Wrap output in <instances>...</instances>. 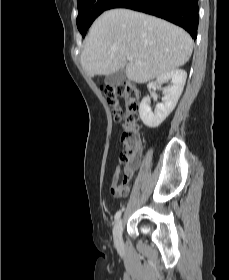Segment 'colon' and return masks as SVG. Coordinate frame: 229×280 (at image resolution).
Returning a JSON list of instances; mask_svg holds the SVG:
<instances>
[{
    "label": "colon",
    "mask_w": 229,
    "mask_h": 280,
    "mask_svg": "<svg viewBox=\"0 0 229 280\" xmlns=\"http://www.w3.org/2000/svg\"><path fill=\"white\" fill-rule=\"evenodd\" d=\"M103 92L107 103L112 108L114 120L122 122L123 130L120 135V142L123 145V153L120 159L126 166H130L139 150L137 136L141 90L133 83L125 81L116 85L105 86ZM119 99L124 101V108L120 107ZM111 188L113 192H126L129 190L128 181L125 179L121 183H115Z\"/></svg>",
    "instance_id": "1"
}]
</instances>
